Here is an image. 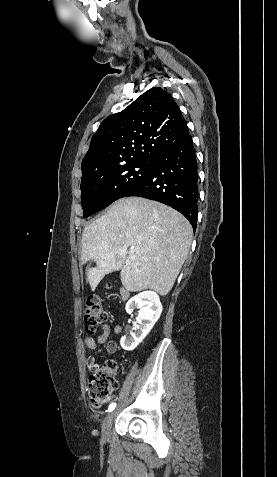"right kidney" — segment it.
Segmentation results:
<instances>
[{"label": "right kidney", "mask_w": 277, "mask_h": 477, "mask_svg": "<svg viewBox=\"0 0 277 477\" xmlns=\"http://www.w3.org/2000/svg\"><path fill=\"white\" fill-rule=\"evenodd\" d=\"M134 309H139L136 326V332H130V336H123L120 340L121 347L124 350H134L148 335L162 312V304L159 296L154 291L141 292L126 303L125 310L131 314Z\"/></svg>", "instance_id": "1"}]
</instances>
